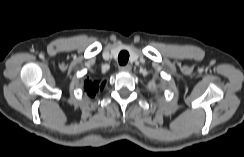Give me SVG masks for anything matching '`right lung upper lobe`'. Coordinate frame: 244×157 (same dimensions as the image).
<instances>
[{
  "label": "right lung upper lobe",
  "instance_id": "1",
  "mask_svg": "<svg viewBox=\"0 0 244 157\" xmlns=\"http://www.w3.org/2000/svg\"><path fill=\"white\" fill-rule=\"evenodd\" d=\"M85 90L90 97H94L99 88H103L104 82L100 84L98 81H85Z\"/></svg>",
  "mask_w": 244,
  "mask_h": 157
}]
</instances>
